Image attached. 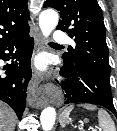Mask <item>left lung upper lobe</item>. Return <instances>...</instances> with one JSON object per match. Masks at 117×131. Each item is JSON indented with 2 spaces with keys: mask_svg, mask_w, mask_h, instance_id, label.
<instances>
[{
  "mask_svg": "<svg viewBox=\"0 0 117 131\" xmlns=\"http://www.w3.org/2000/svg\"><path fill=\"white\" fill-rule=\"evenodd\" d=\"M44 7L60 12L57 29L65 31L76 46L69 47L63 60L81 66L95 78L110 85L111 67L105 39V25L96 0H47Z\"/></svg>",
  "mask_w": 117,
  "mask_h": 131,
  "instance_id": "5c2ea615",
  "label": "left lung upper lobe"
}]
</instances>
